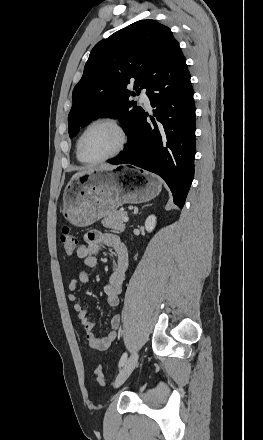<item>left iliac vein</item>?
I'll return each mask as SVG.
<instances>
[{
    "mask_svg": "<svg viewBox=\"0 0 263 440\" xmlns=\"http://www.w3.org/2000/svg\"><path fill=\"white\" fill-rule=\"evenodd\" d=\"M138 352L135 351L126 361L125 363L122 365L118 375L115 378V381L113 383V386L115 388L121 386L126 379L129 377V375L131 374V372L134 370L135 366L137 365L138 362Z\"/></svg>",
    "mask_w": 263,
    "mask_h": 440,
    "instance_id": "1",
    "label": "left iliac vein"
}]
</instances>
